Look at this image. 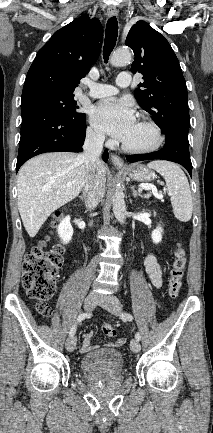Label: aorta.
Instances as JSON below:
<instances>
[{
  "instance_id": "aorta-1",
  "label": "aorta",
  "mask_w": 213,
  "mask_h": 433,
  "mask_svg": "<svg viewBox=\"0 0 213 433\" xmlns=\"http://www.w3.org/2000/svg\"><path fill=\"white\" fill-rule=\"evenodd\" d=\"M132 59V54L128 48L117 49L110 58V62L115 67L125 66L130 63ZM113 213L121 224L125 222L126 219V205L124 201L123 192L117 187L113 195Z\"/></svg>"
}]
</instances>
